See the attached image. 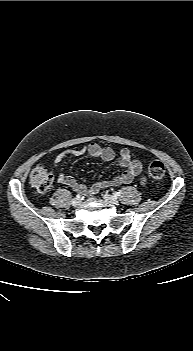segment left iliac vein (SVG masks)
Returning <instances> with one entry per match:
<instances>
[{
  "instance_id": "obj_1",
  "label": "left iliac vein",
  "mask_w": 193,
  "mask_h": 351,
  "mask_svg": "<svg viewBox=\"0 0 193 351\" xmlns=\"http://www.w3.org/2000/svg\"><path fill=\"white\" fill-rule=\"evenodd\" d=\"M103 199H104L107 203L115 204V205L118 204V200H117L114 196H112V195L104 194V195H103Z\"/></svg>"
}]
</instances>
